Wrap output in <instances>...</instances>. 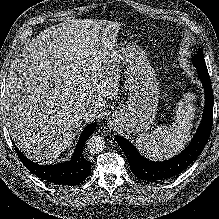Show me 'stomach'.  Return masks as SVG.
Masks as SVG:
<instances>
[{"label":"stomach","mask_w":219,"mask_h":219,"mask_svg":"<svg viewBox=\"0 0 219 219\" xmlns=\"http://www.w3.org/2000/svg\"><path fill=\"white\" fill-rule=\"evenodd\" d=\"M116 61L124 68L123 87L128 101L110 117L111 124L129 135L150 129L156 117L160 86L146 52L134 42L114 47Z\"/></svg>","instance_id":"obj_1"}]
</instances>
